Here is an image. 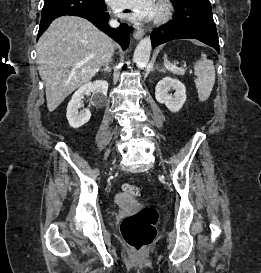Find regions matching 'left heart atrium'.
Listing matches in <instances>:
<instances>
[{"mask_svg": "<svg viewBox=\"0 0 261 273\" xmlns=\"http://www.w3.org/2000/svg\"><path fill=\"white\" fill-rule=\"evenodd\" d=\"M111 6L135 20L151 19L156 13L155 0H109Z\"/></svg>", "mask_w": 261, "mask_h": 273, "instance_id": "39dd6f15", "label": "left heart atrium"}]
</instances>
